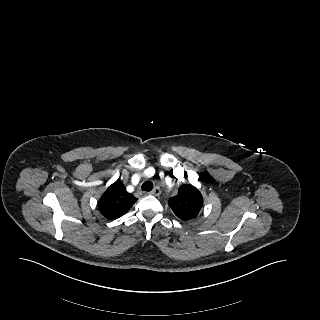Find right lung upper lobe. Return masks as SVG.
Masks as SVG:
<instances>
[{"label": "right lung upper lobe", "instance_id": "1", "mask_svg": "<svg viewBox=\"0 0 320 320\" xmlns=\"http://www.w3.org/2000/svg\"><path fill=\"white\" fill-rule=\"evenodd\" d=\"M136 201L137 198L128 193L123 184L116 181L98 201V209L105 218L114 220L127 213Z\"/></svg>", "mask_w": 320, "mask_h": 320}]
</instances>
